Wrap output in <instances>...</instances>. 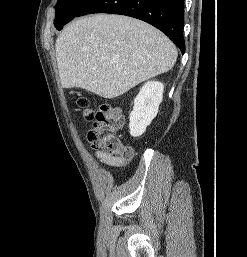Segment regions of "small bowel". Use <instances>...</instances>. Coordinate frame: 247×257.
I'll return each mask as SVG.
<instances>
[{"label":"small bowel","mask_w":247,"mask_h":257,"mask_svg":"<svg viewBox=\"0 0 247 257\" xmlns=\"http://www.w3.org/2000/svg\"><path fill=\"white\" fill-rule=\"evenodd\" d=\"M132 149V148H131ZM132 156H133V149H132ZM132 156L128 159L122 158L119 156H111L108 155L107 153L98 150L95 152V157L102 163L111 167H122L125 165L131 158Z\"/></svg>","instance_id":"obj_1"}]
</instances>
